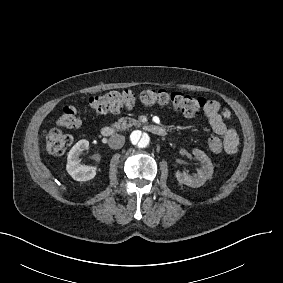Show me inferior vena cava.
I'll use <instances>...</instances> for the list:
<instances>
[{
	"instance_id": "obj_1",
	"label": "inferior vena cava",
	"mask_w": 283,
	"mask_h": 283,
	"mask_svg": "<svg viewBox=\"0 0 283 283\" xmlns=\"http://www.w3.org/2000/svg\"><path fill=\"white\" fill-rule=\"evenodd\" d=\"M125 143V137L123 135H112L108 140V145L112 149H120Z\"/></svg>"
}]
</instances>
